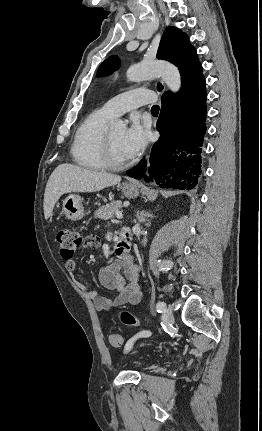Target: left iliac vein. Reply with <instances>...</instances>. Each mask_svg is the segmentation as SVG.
I'll list each match as a JSON object with an SVG mask.
<instances>
[{
	"label": "left iliac vein",
	"mask_w": 262,
	"mask_h": 431,
	"mask_svg": "<svg viewBox=\"0 0 262 431\" xmlns=\"http://www.w3.org/2000/svg\"><path fill=\"white\" fill-rule=\"evenodd\" d=\"M165 322L168 326H172L174 324V317L171 308H167L165 311Z\"/></svg>",
	"instance_id": "1"
}]
</instances>
